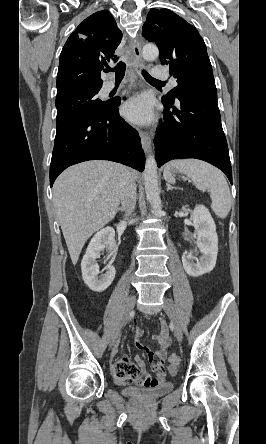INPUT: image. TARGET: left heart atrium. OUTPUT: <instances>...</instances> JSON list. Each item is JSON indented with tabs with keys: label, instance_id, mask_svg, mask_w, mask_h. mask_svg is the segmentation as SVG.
<instances>
[{
	"label": "left heart atrium",
	"instance_id": "1",
	"mask_svg": "<svg viewBox=\"0 0 266 444\" xmlns=\"http://www.w3.org/2000/svg\"><path fill=\"white\" fill-rule=\"evenodd\" d=\"M124 116L136 124H149L154 119L153 107L150 98L146 95L136 96L123 106Z\"/></svg>",
	"mask_w": 266,
	"mask_h": 444
}]
</instances>
